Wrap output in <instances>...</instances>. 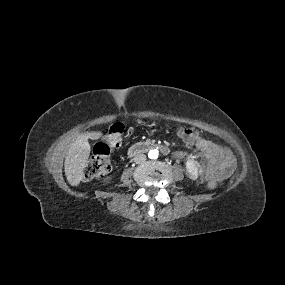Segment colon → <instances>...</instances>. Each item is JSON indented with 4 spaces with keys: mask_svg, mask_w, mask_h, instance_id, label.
I'll return each mask as SVG.
<instances>
[{
    "mask_svg": "<svg viewBox=\"0 0 285 285\" xmlns=\"http://www.w3.org/2000/svg\"><path fill=\"white\" fill-rule=\"evenodd\" d=\"M123 131V124L115 123L109 128L104 139L95 145L93 154L83 169L82 177L84 180L103 178L110 173L112 167L111 150L119 147ZM178 134L188 144H193L199 137L197 131L189 127L180 128ZM207 186L210 189H215L218 182L210 180Z\"/></svg>",
    "mask_w": 285,
    "mask_h": 285,
    "instance_id": "colon-1",
    "label": "colon"
}]
</instances>
